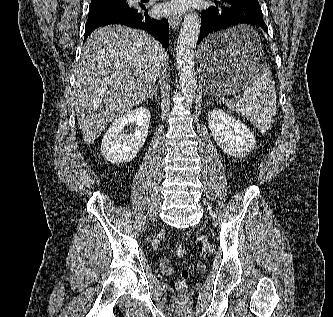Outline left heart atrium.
Returning a JSON list of instances; mask_svg holds the SVG:
<instances>
[{
  "label": "left heart atrium",
  "instance_id": "left-heart-atrium-1",
  "mask_svg": "<svg viewBox=\"0 0 333 317\" xmlns=\"http://www.w3.org/2000/svg\"><path fill=\"white\" fill-rule=\"evenodd\" d=\"M184 9V0H171L162 6V10L166 13L179 12Z\"/></svg>",
  "mask_w": 333,
  "mask_h": 317
}]
</instances>
